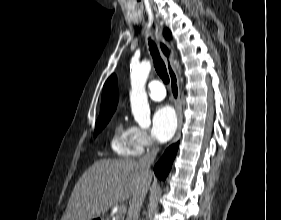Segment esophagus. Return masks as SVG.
Wrapping results in <instances>:
<instances>
[{
    "instance_id": "34e87169",
    "label": "esophagus",
    "mask_w": 281,
    "mask_h": 220,
    "mask_svg": "<svg viewBox=\"0 0 281 220\" xmlns=\"http://www.w3.org/2000/svg\"><path fill=\"white\" fill-rule=\"evenodd\" d=\"M155 36L157 39V43L160 49V52L164 58L167 72L170 78V89H171V94L174 99L176 111H177V117H178V127L177 131L174 137L173 142H177L178 139L180 138L181 135V128H182V123H183V115H182V106H181V101H180V88H179V81L178 77L175 71V68L173 66V50L170 46V44L165 40L163 34H162V29L158 26L155 25Z\"/></svg>"
}]
</instances>
